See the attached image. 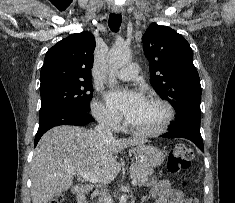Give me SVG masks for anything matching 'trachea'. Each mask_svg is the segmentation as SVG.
Listing matches in <instances>:
<instances>
[{
	"mask_svg": "<svg viewBox=\"0 0 235 203\" xmlns=\"http://www.w3.org/2000/svg\"><path fill=\"white\" fill-rule=\"evenodd\" d=\"M121 22H122L121 14H114V13L110 14L108 24H109L110 29L113 32L119 31V28L121 26Z\"/></svg>",
	"mask_w": 235,
	"mask_h": 203,
	"instance_id": "trachea-1",
	"label": "trachea"
}]
</instances>
